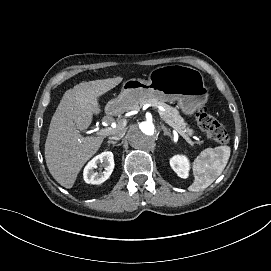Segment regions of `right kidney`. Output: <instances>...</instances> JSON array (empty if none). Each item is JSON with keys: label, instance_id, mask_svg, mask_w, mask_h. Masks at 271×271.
Listing matches in <instances>:
<instances>
[{"label": "right kidney", "instance_id": "right-kidney-1", "mask_svg": "<svg viewBox=\"0 0 271 271\" xmlns=\"http://www.w3.org/2000/svg\"><path fill=\"white\" fill-rule=\"evenodd\" d=\"M104 169V171H102ZM114 169L113 153L106 151L96 156L84 169V180L88 184H101ZM98 170V172H97Z\"/></svg>", "mask_w": 271, "mask_h": 271}]
</instances>
